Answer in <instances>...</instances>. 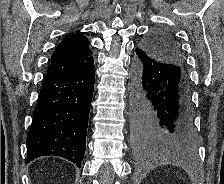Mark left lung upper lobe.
Masks as SVG:
<instances>
[{"label": "left lung upper lobe", "instance_id": "obj_1", "mask_svg": "<svg viewBox=\"0 0 224 184\" xmlns=\"http://www.w3.org/2000/svg\"><path fill=\"white\" fill-rule=\"evenodd\" d=\"M150 57L164 63L184 69V59L177 42L167 33L158 32L150 35L141 44V48Z\"/></svg>", "mask_w": 224, "mask_h": 184}]
</instances>
